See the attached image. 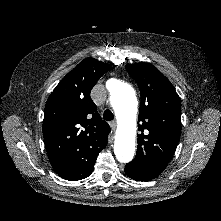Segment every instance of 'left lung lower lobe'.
Returning a JSON list of instances; mask_svg holds the SVG:
<instances>
[{
	"label": "left lung lower lobe",
	"mask_w": 221,
	"mask_h": 221,
	"mask_svg": "<svg viewBox=\"0 0 221 221\" xmlns=\"http://www.w3.org/2000/svg\"><path fill=\"white\" fill-rule=\"evenodd\" d=\"M125 173L128 177L138 181L151 180L159 175V174H138L126 168H125Z\"/></svg>",
	"instance_id": "obj_1"
}]
</instances>
